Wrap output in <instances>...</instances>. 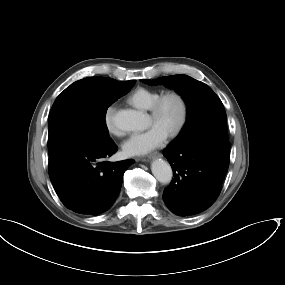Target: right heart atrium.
Listing matches in <instances>:
<instances>
[{
  "label": "right heart atrium",
  "instance_id": "1",
  "mask_svg": "<svg viewBox=\"0 0 285 285\" xmlns=\"http://www.w3.org/2000/svg\"><path fill=\"white\" fill-rule=\"evenodd\" d=\"M114 113L115 107L113 105H109L105 109V123L109 132L114 135L122 136L124 134L123 130L119 129L114 123Z\"/></svg>",
  "mask_w": 285,
  "mask_h": 285
}]
</instances>
